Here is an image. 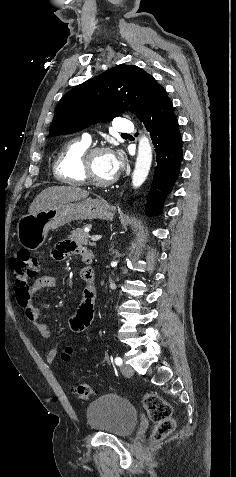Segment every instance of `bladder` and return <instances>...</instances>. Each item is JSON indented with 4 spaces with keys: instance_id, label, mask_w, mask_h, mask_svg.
<instances>
[{
    "instance_id": "1",
    "label": "bladder",
    "mask_w": 236,
    "mask_h": 477,
    "mask_svg": "<svg viewBox=\"0 0 236 477\" xmlns=\"http://www.w3.org/2000/svg\"><path fill=\"white\" fill-rule=\"evenodd\" d=\"M138 420L136 407L113 393L98 397L86 409V421L90 429L121 438L134 432Z\"/></svg>"
}]
</instances>
